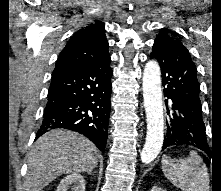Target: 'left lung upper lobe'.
<instances>
[{
    "label": "left lung upper lobe",
    "instance_id": "5c2ea615",
    "mask_svg": "<svg viewBox=\"0 0 221 191\" xmlns=\"http://www.w3.org/2000/svg\"><path fill=\"white\" fill-rule=\"evenodd\" d=\"M156 39H171V37L168 35V30L167 29H161V31H160V33H159V35L157 36ZM204 143H205V145L206 144L208 145L207 138H205Z\"/></svg>",
    "mask_w": 221,
    "mask_h": 191
}]
</instances>
